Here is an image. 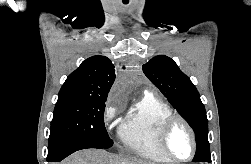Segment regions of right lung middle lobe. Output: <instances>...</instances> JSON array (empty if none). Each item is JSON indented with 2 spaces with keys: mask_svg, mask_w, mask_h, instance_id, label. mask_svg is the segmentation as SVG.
<instances>
[{
  "mask_svg": "<svg viewBox=\"0 0 251 164\" xmlns=\"http://www.w3.org/2000/svg\"><path fill=\"white\" fill-rule=\"evenodd\" d=\"M106 98L59 96L51 121L48 147L64 141H80L107 149L112 140L104 125Z\"/></svg>",
  "mask_w": 251,
  "mask_h": 164,
  "instance_id": "right-lung-middle-lobe-1",
  "label": "right lung middle lobe"
}]
</instances>
